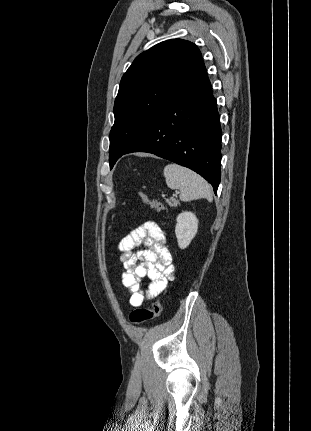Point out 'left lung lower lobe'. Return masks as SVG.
I'll list each match as a JSON object with an SVG mask.
<instances>
[{"label":"left lung lower lobe","instance_id":"left-lung-lower-lobe-1","mask_svg":"<svg viewBox=\"0 0 311 431\" xmlns=\"http://www.w3.org/2000/svg\"><path fill=\"white\" fill-rule=\"evenodd\" d=\"M221 137L217 103L203 63L122 155L148 152L188 167L204 177L216 194L221 176Z\"/></svg>","mask_w":311,"mask_h":431}]
</instances>
